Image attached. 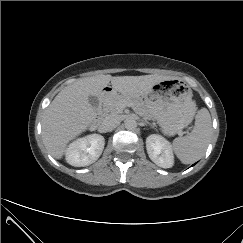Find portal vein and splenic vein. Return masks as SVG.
Wrapping results in <instances>:
<instances>
[{"label": "portal vein and splenic vein", "mask_w": 243, "mask_h": 243, "mask_svg": "<svg viewBox=\"0 0 243 243\" xmlns=\"http://www.w3.org/2000/svg\"><path fill=\"white\" fill-rule=\"evenodd\" d=\"M121 108L124 109L126 107L125 104H120Z\"/></svg>", "instance_id": "portal-vein-and-splenic-vein-1"}]
</instances>
